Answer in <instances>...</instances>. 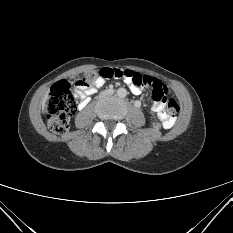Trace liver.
I'll use <instances>...</instances> for the list:
<instances>
[{"mask_svg":"<svg viewBox=\"0 0 233 233\" xmlns=\"http://www.w3.org/2000/svg\"><path fill=\"white\" fill-rule=\"evenodd\" d=\"M47 98H48V95H45L44 100H43V102H42V106H43V107L45 106V101H46Z\"/></svg>","mask_w":233,"mask_h":233,"instance_id":"liver-1","label":"liver"}]
</instances>
